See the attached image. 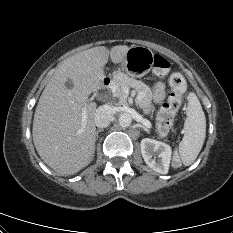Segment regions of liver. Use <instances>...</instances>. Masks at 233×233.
<instances>
[{"label":"liver","instance_id":"obj_1","mask_svg":"<svg viewBox=\"0 0 233 233\" xmlns=\"http://www.w3.org/2000/svg\"><path fill=\"white\" fill-rule=\"evenodd\" d=\"M128 49L98 46L77 53L59 65L43 90L34 114L33 142L44 163L59 175L75 174L92 161L97 109L88 97L102 87L109 57L114 64L121 63ZM67 80L72 81L71 89L65 85Z\"/></svg>","mask_w":233,"mask_h":233}]
</instances>
